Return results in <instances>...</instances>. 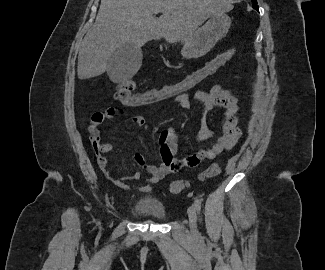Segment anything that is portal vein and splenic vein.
<instances>
[{"label": "portal vein and splenic vein", "instance_id": "obj_1", "mask_svg": "<svg viewBox=\"0 0 325 270\" xmlns=\"http://www.w3.org/2000/svg\"><path fill=\"white\" fill-rule=\"evenodd\" d=\"M162 11H163L162 9L158 10V12H162Z\"/></svg>", "mask_w": 325, "mask_h": 270}]
</instances>
